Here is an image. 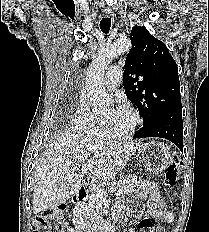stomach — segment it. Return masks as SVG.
<instances>
[{"instance_id": "obj_1", "label": "stomach", "mask_w": 209, "mask_h": 232, "mask_svg": "<svg viewBox=\"0 0 209 232\" xmlns=\"http://www.w3.org/2000/svg\"><path fill=\"white\" fill-rule=\"evenodd\" d=\"M138 154L146 170L153 174L161 173L170 163L168 148L157 141H149L140 145Z\"/></svg>"}]
</instances>
